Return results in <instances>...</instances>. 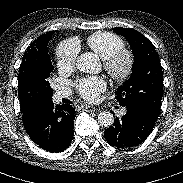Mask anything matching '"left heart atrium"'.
<instances>
[{
  "label": "left heart atrium",
  "instance_id": "left-heart-atrium-1",
  "mask_svg": "<svg viewBox=\"0 0 183 183\" xmlns=\"http://www.w3.org/2000/svg\"><path fill=\"white\" fill-rule=\"evenodd\" d=\"M75 88L83 99L93 102L106 89V81L100 76L85 77L75 82Z\"/></svg>",
  "mask_w": 183,
  "mask_h": 183
}]
</instances>
